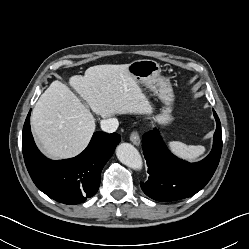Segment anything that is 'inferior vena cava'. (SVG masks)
<instances>
[{
  "label": "inferior vena cava",
  "instance_id": "602c4592",
  "mask_svg": "<svg viewBox=\"0 0 249 249\" xmlns=\"http://www.w3.org/2000/svg\"><path fill=\"white\" fill-rule=\"evenodd\" d=\"M101 129L104 132L112 133L115 132L119 126V122L115 118L103 119L100 122Z\"/></svg>",
  "mask_w": 249,
  "mask_h": 249
}]
</instances>
